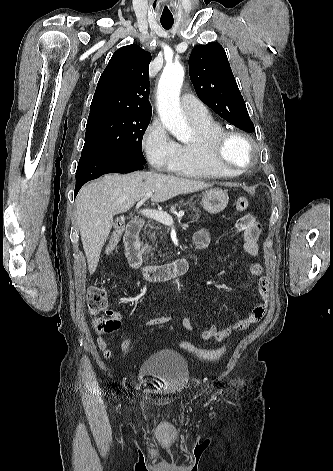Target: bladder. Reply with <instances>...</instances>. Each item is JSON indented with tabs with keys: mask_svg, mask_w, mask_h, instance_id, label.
I'll list each match as a JSON object with an SVG mask.
<instances>
[{
	"mask_svg": "<svg viewBox=\"0 0 333 471\" xmlns=\"http://www.w3.org/2000/svg\"><path fill=\"white\" fill-rule=\"evenodd\" d=\"M139 375L159 380L160 392L164 395L181 393L189 382L187 361L173 350H160L147 357L140 365Z\"/></svg>",
	"mask_w": 333,
	"mask_h": 471,
	"instance_id": "1",
	"label": "bladder"
}]
</instances>
